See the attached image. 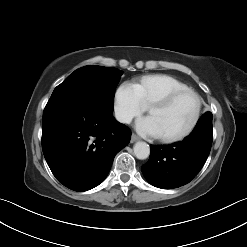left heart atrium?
<instances>
[{
	"label": "left heart atrium",
	"mask_w": 247,
	"mask_h": 247,
	"mask_svg": "<svg viewBox=\"0 0 247 247\" xmlns=\"http://www.w3.org/2000/svg\"><path fill=\"white\" fill-rule=\"evenodd\" d=\"M136 130L146 137H160V133L156 127L154 120L148 116L139 119L135 124Z\"/></svg>",
	"instance_id": "obj_1"
}]
</instances>
